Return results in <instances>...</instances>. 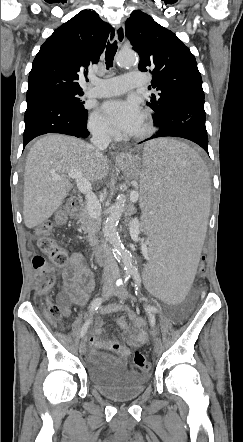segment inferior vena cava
Returning <instances> with one entry per match:
<instances>
[{
	"instance_id": "1",
	"label": "inferior vena cava",
	"mask_w": 243,
	"mask_h": 442,
	"mask_svg": "<svg viewBox=\"0 0 243 442\" xmlns=\"http://www.w3.org/2000/svg\"><path fill=\"white\" fill-rule=\"evenodd\" d=\"M91 134V142L94 145L96 159L100 160L103 156V151L107 149L111 142L110 132L106 127L97 125L91 128ZM101 249L104 260V276L109 279H116L119 276V268L104 240L101 241Z\"/></svg>"
}]
</instances>
